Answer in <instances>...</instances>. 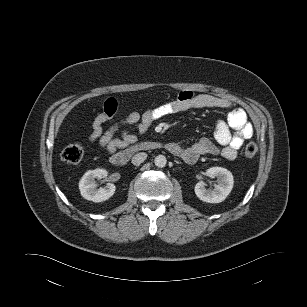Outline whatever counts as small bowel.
I'll list each match as a JSON object with an SVG mask.
<instances>
[{
	"label": "small bowel",
	"mask_w": 307,
	"mask_h": 307,
	"mask_svg": "<svg viewBox=\"0 0 307 307\" xmlns=\"http://www.w3.org/2000/svg\"><path fill=\"white\" fill-rule=\"evenodd\" d=\"M196 108L223 109L228 111V115L226 120L216 122L213 139L202 138L186 147L170 143L168 150L189 164L195 163L204 155L220 154L227 160H234L244 141L253 134L245 111L236 107L230 99L190 91H182L174 100L142 113L132 111L105 128V124L118 110V102L114 98H109L104 102L101 113L93 119L88 140L114 155L117 150L127 148L138 140V135L132 133L129 128H135L138 134H144L155 121ZM118 133L119 137L116 136Z\"/></svg>",
	"instance_id": "small-bowel-1"
}]
</instances>
